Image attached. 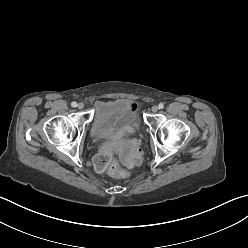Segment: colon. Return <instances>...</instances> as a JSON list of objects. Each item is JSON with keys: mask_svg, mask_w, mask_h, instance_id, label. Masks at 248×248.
<instances>
[{"mask_svg": "<svg viewBox=\"0 0 248 248\" xmlns=\"http://www.w3.org/2000/svg\"><path fill=\"white\" fill-rule=\"evenodd\" d=\"M108 163V157L104 153L96 154L91 159V164L95 168H101ZM108 173L114 178H123L127 176V172L117 160H112L107 165Z\"/></svg>", "mask_w": 248, "mask_h": 248, "instance_id": "obj_1", "label": "colon"}]
</instances>
